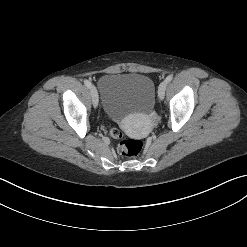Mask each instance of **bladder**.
<instances>
[{
  "label": "bladder",
  "mask_w": 247,
  "mask_h": 247,
  "mask_svg": "<svg viewBox=\"0 0 247 247\" xmlns=\"http://www.w3.org/2000/svg\"><path fill=\"white\" fill-rule=\"evenodd\" d=\"M96 90L101 95L106 116L115 122H121L131 113H147L154 104V83L142 74L105 75Z\"/></svg>",
  "instance_id": "obj_1"
}]
</instances>
